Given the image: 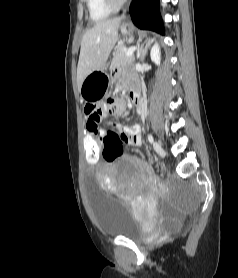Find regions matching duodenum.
<instances>
[{
	"mask_svg": "<svg viewBox=\"0 0 238 278\" xmlns=\"http://www.w3.org/2000/svg\"><path fill=\"white\" fill-rule=\"evenodd\" d=\"M133 103H134L137 111L138 112L141 111V108H142L141 98L137 91H134V93H133Z\"/></svg>",
	"mask_w": 238,
	"mask_h": 278,
	"instance_id": "1",
	"label": "duodenum"
}]
</instances>
